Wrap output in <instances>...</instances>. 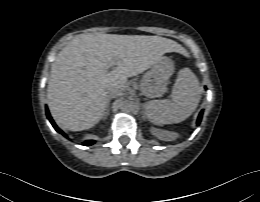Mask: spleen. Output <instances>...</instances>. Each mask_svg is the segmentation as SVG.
Wrapping results in <instances>:
<instances>
[{
	"label": "spleen",
	"mask_w": 260,
	"mask_h": 202,
	"mask_svg": "<svg viewBox=\"0 0 260 202\" xmlns=\"http://www.w3.org/2000/svg\"><path fill=\"white\" fill-rule=\"evenodd\" d=\"M200 94V85L195 74L189 68L181 69L172 89L171 101L146 102V114L154 123H179L195 111L200 101Z\"/></svg>",
	"instance_id": "obj_1"
}]
</instances>
